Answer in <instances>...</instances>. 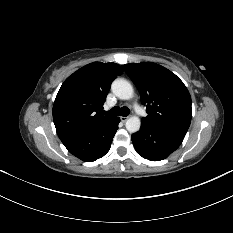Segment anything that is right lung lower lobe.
<instances>
[{
	"instance_id": "98d812e1",
	"label": "right lung lower lobe",
	"mask_w": 233,
	"mask_h": 233,
	"mask_svg": "<svg viewBox=\"0 0 233 233\" xmlns=\"http://www.w3.org/2000/svg\"><path fill=\"white\" fill-rule=\"evenodd\" d=\"M119 121L118 117H114L105 123L93 126L79 135L61 141L67 150L77 158L85 162L95 161L109 151Z\"/></svg>"
}]
</instances>
